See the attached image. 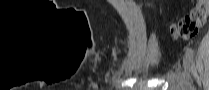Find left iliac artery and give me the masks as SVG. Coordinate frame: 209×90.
Here are the masks:
<instances>
[{"instance_id": "obj_1", "label": "left iliac artery", "mask_w": 209, "mask_h": 90, "mask_svg": "<svg viewBox=\"0 0 209 90\" xmlns=\"http://www.w3.org/2000/svg\"><path fill=\"white\" fill-rule=\"evenodd\" d=\"M185 51H186V55L189 57V58H193L194 56V51L191 47H185Z\"/></svg>"}]
</instances>
